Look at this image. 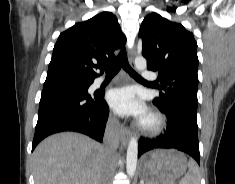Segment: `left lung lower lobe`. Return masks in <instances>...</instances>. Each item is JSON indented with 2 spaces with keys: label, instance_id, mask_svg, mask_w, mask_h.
Wrapping results in <instances>:
<instances>
[{
  "label": "left lung lower lobe",
  "instance_id": "1",
  "mask_svg": "<svg viewBox=\"0 0 235 184\" xmlns=\"http://www.w3.org/2000/svg\"><path fill=\"white\" fill-rule=\"evenodd\" d=\"M156 106L166 114L168 127L159 138H140L138 157L152 149H177L189 154L200 164L197 112L179 104Z\"/></svg>",
  "mask_w": 235,
  "mask_h": 184
}]
</instances>
